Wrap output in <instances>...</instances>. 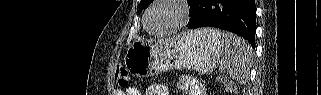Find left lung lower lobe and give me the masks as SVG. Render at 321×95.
I'll list each match as a JSON object with an SVG mask.
<instances>
[{
	"label": "left lung lower lobe",
	"instance_id": "0a47b994",
	"mask_svg": "<svg viewBox=\"0 0 321 95\" xmlns=\"http://www.w3.org/2000/svg\"><path fill=\"white\" fill-rule=\"evenodd\" d=\"M189 28L217 27L242 36L255 48V0H192Z\"/></svg>",
	"mask_w": 321,
	"mask_h": 95
}]
</instances>
